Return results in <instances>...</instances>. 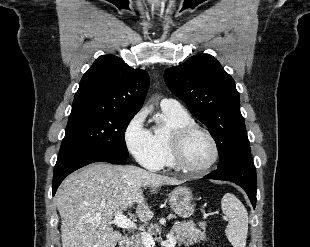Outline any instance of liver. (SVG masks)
I'll use <instances>...</instances> for the list:
<instances>
[{"mask_svg": "<svg viewBox=\"0 0 310 247\" xmlns=\"http://www.w3.org/2000/svg\"><path fill=\"white\" fill-rule=\"evenodd\" d=\"M181 183L132 165L97 163L71 174L55 195L62 220V247H115L122 237L111 226L116 212L137 204L136 214L146 222L154 213L143 189L152 187L151 193H155L163 185Z\"/></svg>", "mask_w": 310, "mask_h": 247, "instance_id": "obj_1", "label": "liver"}]
</instances>
